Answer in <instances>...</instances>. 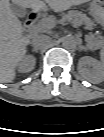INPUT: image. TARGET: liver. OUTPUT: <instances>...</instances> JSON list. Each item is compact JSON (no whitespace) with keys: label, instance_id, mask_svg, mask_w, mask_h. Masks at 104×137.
Here are the masks:
<instances>
[{"label":"liver","instance_id":"obj_1","mask_svg":"<svg viewBox=\"0 0 104 137\" xmlns=\"http://www.w3.org/2000/svg\"><path fill=\"white\" fill-rule=\"evenodd\" d=\"M55 11L62 12L74 5H80L90 0H45ZM13 4L30 8L37 13L46 10V4L41 0H12ZM23 34L21 21L11 11L9 2L1 0L0 7V81L10 83L15 79L16 66L26 54L29 37Z\"/></svg>","mask_w":104,"mask_h":137}]
</instances>
